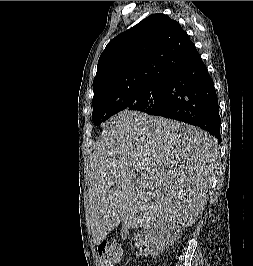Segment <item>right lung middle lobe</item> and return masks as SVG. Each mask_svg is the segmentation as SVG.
I'll use <instances>...</instances> for the list:
<instances>
[{"instance_id":"right-lung-middle-lobe-1","label":"right lung middle lobe","mask_w":253,"mask_h":266,"mask_svg":"<svg viewBox=\"0 0 253 266\" xmlns=\"http://www.w3.org/2000/svg\"><path fill=\"white\" fill-rule=\"evenodd\" d=\"M165 90L166 81H160L119 94L93 105L92 120L95 125H100L122 110H137L152 115L162 108Z\"/></svg>"}]
</instances>
